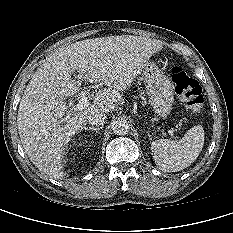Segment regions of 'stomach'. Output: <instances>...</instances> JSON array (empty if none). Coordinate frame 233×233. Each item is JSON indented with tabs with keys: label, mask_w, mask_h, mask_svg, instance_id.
Returning <instances> with one entry per match:
<instances>
[{
	"label": "stomach",
	"mask_w": 233,
	"mask_h": 233,
	"mask_svg": "<svg viewBox=\"0 0 233 233\" xmlns=\"http://www.w3.org/2000/svg\"><path fill=\"white\" fill-rule=\"evenodd\" d=\"M144 81L149 103L155 114L166 118L172 110L174 102L173 86L164 71L151 61L143 68Z\"/></svg>",
	"instance_id": "stomach-1"
}]
</instances>
